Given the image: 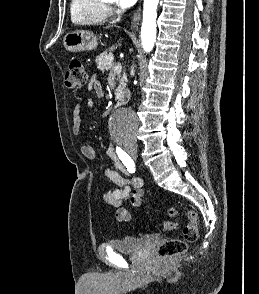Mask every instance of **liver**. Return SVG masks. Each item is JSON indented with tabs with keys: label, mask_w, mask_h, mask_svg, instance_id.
I'll list each match as a JSON object with an SVG mask.
<instances>
[{
	"label": "liver",
	"mask_w": 259,
	"mask_h": 294,
	"mask_svg": "<svg viewBox=\"0 0 259 294\" xmlns=\"http://www.w3.org/2000/svg\"><path fill=\"white\" fill-rule=\"evenodd\" d=\"M119 46H121V43L118 42V44L111 46V47L109 48V50H110V51H114V50H116Z\"/></svg>",
	"instance_id": "1"
}]
</instances>
